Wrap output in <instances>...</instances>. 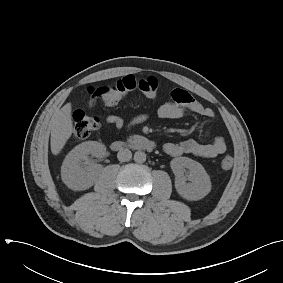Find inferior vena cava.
Instances as JSON below:
<instances>
[{
    "instance_id": "1",
    "label": "inferior vena cava",
    "mask_w": 283,
    "mask_h": 283,
    "mask_svg": "<svg viewBox=\"0 0 283 283\" xmlns=\"http://www.w3.org/2000/svg\"><path fill=\"white\" fill-rule=\"evenodd\" d=\"M117 158L121 162H126L132 158V153L129 149H120L117 153Z\"/></svg>"
}]
</instances>
